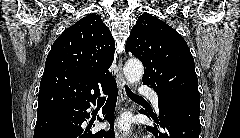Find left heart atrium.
Returning <instances> with one entry per match:
<instances>
[{"label":"left heart atrium","instance_id":"obj_1","mask_svg":"<svg viewBox=\"0 0 240 138\" xmlns=\"http://www.w3.org/2000/svg\"><path fill=\"white\" fill-rule=\"evenodd\" d=\"M119 129L126 130L129 127V120L127 118H123L118 123Z\"/></svg>","mask_w":240,"mask_h":138}]
</instances>
